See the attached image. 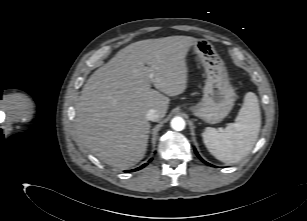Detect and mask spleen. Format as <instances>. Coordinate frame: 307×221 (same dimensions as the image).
Listing matches in <instances>:
<instances>
[{
    "mask_svg": "<svg viewBox=\"0 0 307 221\" xmlns=\"http://www.w3.org/2000/svg\"><path fill=\"white\" fill-rule=\"evenodd\" d=\"M261 127V112L255 93L245 94L244 103L235 119L222 132L207 128L202 133L208 151L218 160L237 163L245 158L255 145Z\"/></svg>",
    "mask_w": 307,
    "mask_h": 221,
    "instance_id": "1",
    "label": "spleen"
}]
</instances>
